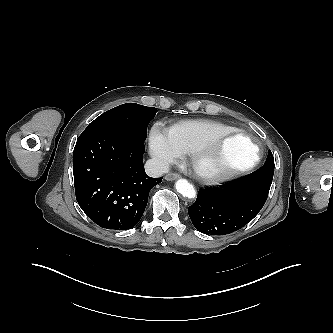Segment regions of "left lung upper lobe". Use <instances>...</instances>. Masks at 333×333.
I'll return each instance as SVG.
<instances>
[{"instance_id":"1","label":"left lung upper lobe","mask_w":333,"mask_h":333,"mask_svg":"<svg viewBox=\"0 0 333 333\" xmlns=\"http://www.w3.org/2000/svg\"><path fill=\"white\" fill-rule=\"evenodd\" d=\"M262 167L266 168V169H274V157H273L272 152L270 150L268 152V158H267L265 164Z\"/></svg>"}]
</instances>
